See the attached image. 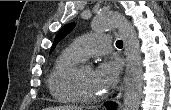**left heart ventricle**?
I'll return each mask as SVG.
<instances>
[{
    "instance_id": "b2bd125f",
    "label": "left heart ventricle",
    "mask_w": 171,
    "mask_h": 110,
    "mask_svg": "<svg viewBox=\"0 0 171 110\" xmlns=\"http://www.w3.org/2000/svg\"><path fill=\"white\" fill-rule=\"evenodd\" d=\"M79 85L88 96H98L104 93L95 80L94 70L87 65L83 67L79 74Z\"/></svg>"
}]
</instances>
